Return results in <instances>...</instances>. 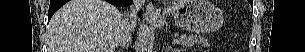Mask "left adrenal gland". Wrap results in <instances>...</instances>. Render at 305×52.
<instances>
[{
    "label": "left adrenal gland",
    "mask_w": 305,
    "mask_h": 52,
    "mask_svg": "<svg viewBox=\"0 0 305 52\" xmlns=\"http://www.w3.org/2000/svg\"><path fill=\"white\" fill-rule=\"evenodd\" d=\"M166 52H176V51L172 47H167ZM178 52H179V50H178Z\"/></svg>",
    "instance_id": "obj_1"
}]
</instances>
